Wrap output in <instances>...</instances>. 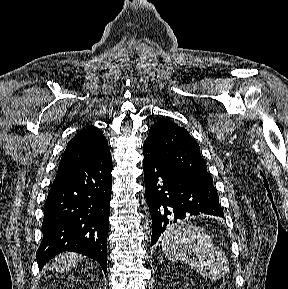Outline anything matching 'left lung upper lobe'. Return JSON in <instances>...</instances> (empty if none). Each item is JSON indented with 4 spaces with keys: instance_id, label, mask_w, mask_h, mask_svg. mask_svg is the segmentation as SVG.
I'll return each mask as SVG.
<instances>
[{
    "instance_id": "obj_1",
    "label": "left lung upper lobe",
    "mask_w": 288,
    "mask_h": 289,
    "mask_svg": "<svg viewBox=\"0 0 288 289\" xmlns=\"http://www.w3.org/2000/svg\"><path fill=\"white\" fill-rule=\"evenodd\" d=\"M162 161L194 179L213 185V180L201 157L199 145L186 129L172 121L161 119L149 131L144 142Z\"/></svg>"
}]
</instances>
